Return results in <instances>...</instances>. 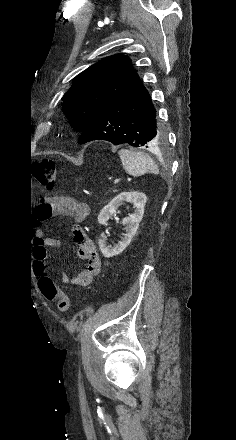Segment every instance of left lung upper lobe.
I'll use <instances>...</instances> for the list:
<instances>
[{
	"label": "left lung upper lobe",
	"instance_id": "1",
	"mask_svg": "<svg viewBox=\"0 0 236 440\" xmlns=\"http://www.w3.org/2000/svg\"><path fill=\"white\" fill-rule=\"evenodd\" d=\"M139 79L130 59L116 54L87 68L62 97V107L75 131L82 132L116 97Z\"/></svg>",
	"mask_w": 236,
	"mask_h": 440
}]
</instances>
